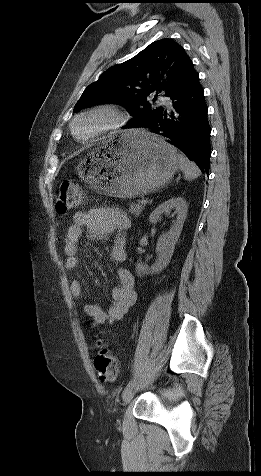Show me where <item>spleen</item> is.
Instances as JSON below:
<instances>
[{"label": "spleen", "instance_id": "3e777b00", "mask_svg": "<svg viewBox=\"0 0 261 476\" xmlns=\"http://www.w3.org/2000/svg\"><path fill=\"white\" fill-rule=\"evenodd\" d=\"M179 167L184 172L185 179L193 180L200 176V170L194 162L188 160L183 154H178Z\"/></svg>", "mask_w": 261, "mask_h": 476}]
</instances>
